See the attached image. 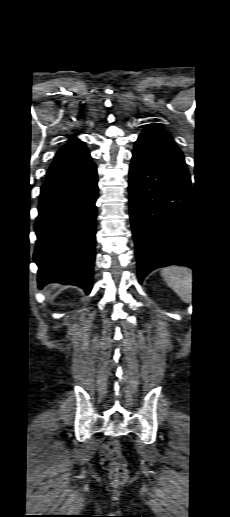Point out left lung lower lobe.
Here are the masks:
<instances>
[{
  "label": "left lung lower lobe",
  "mask_w": 230,
  "mask_h": 517,
  "mask_svg": "<svg viewBox=\"0 0 230 517\" xmlns=\"http://www.w3.org/2000/svg\"><path fill=\"white\" fill-rule=\"evenodd\" d=\"M128 188L139 283L156 268L195 269L190 250L191 179L182 153L137 140Z\"/></svg>",
  "instance_id": "1"
}]
</instances>
